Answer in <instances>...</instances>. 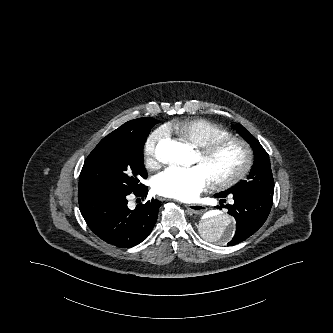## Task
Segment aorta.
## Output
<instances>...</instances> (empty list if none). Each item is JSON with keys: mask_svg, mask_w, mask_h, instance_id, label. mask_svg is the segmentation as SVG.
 Returning a JSON list of instances; mask_svg holds the SVG:
<instances>
[{"mask_svg": "<svg viewBox=\"0 0 333 333\" xmlns=\"http://www.w3.org/2000/svg\"><path fill=\"white\" fill-rule=\"evenodd\" d=\"M189 148L174 140H164L157 145V159L166 164H184L189 157ZM232 218L223 212L212 211L200 225L201 235L206 240L225 243L234 234Z\"/></svg>", "mask_w": 333, "mask_h": 333, "instance_id": "762f6f07", "label": "aorta"}]
</instances>
